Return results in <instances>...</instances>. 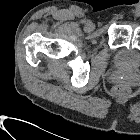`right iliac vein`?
<instances>
[{
	"mask_svg": "<svg viewBox=\"0 0 140 140\" xmlns=\"http://www.w3.org/2000/svg\"><path fill=\"white\" fill-rule=\"evenodd\" d=\"M94 27H95L94 24L90 22V23H87L85 29L87 31H92L94 29Z\"/></svg>",
	"mask_w": 140,
	"mask_h": 140,
	"instance_id": "obj_1",
	"label": "right iliac vein"
}]
</instances>
